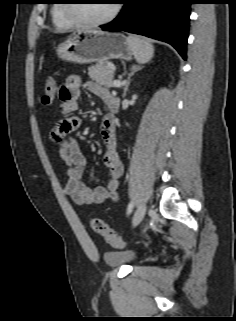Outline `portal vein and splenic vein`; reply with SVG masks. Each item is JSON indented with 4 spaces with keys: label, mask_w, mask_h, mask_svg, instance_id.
Segmentation results:
<instances>
[{
    "label": "portal vein and splenic vein",
    "mask_w": 236,
    "mask_h": 321,
    "mask_svg": "<svg viewBox=\"0 0 236 321\" xmlns=\"http://www.w3.org/2000/svg\"><path fill=\"white\" fill-rule=\"evenodd\" d=\"M123 84H125V82H121V81H119V80H114V85H115L116 87H120V86L123 85Z\"/></svg>",
    "instance_id": "1"
}]
</instances>
